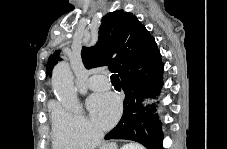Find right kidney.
I'll list each match as a JSON object with an SVG mask.
<instances>
[{
  "mask_svg": "<svg viewBox=\"0 0 227 149\" xmlns=\"http://www.w3.org/2000/svg\"><path fill=\"white\" fill-rule=\"evenodd\" d=\"M124 149H137V146L130 144V145L125 146Z\"/></svg>",
  "mask_w": 227,
  "mask_h": 149,
  "instance_id": "ca27d5eb",
  "label": "right kidney"
}]
</instances>
